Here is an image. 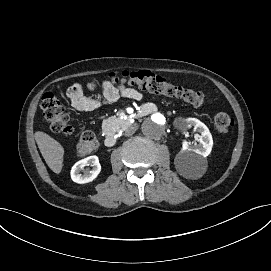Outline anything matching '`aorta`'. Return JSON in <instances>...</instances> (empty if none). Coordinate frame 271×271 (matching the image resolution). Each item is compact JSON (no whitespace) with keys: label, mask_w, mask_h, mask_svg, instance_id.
<instances>
[{"label":"aorta","mask_w":271,"mask_h":271,"mask_svg":"<svg viewBox=\"0 0 271 271\" xmlns=\"http://www.w3.org/2000/svg\"><path fill=\"white\" fill-rule=\"evenodd\" d=\"M167 124L166 117L162 113L157 112L144 120L141 130L144 136L158 139L164 134Z\"/></svg>","instance_id":"aorta-1"}]
</instances>
